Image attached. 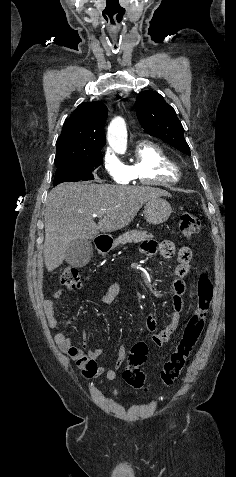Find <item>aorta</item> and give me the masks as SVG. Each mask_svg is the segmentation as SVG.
<instances>
[{"instance_id": "aorta-1", "label": "aorta", "mask_w": 236, "mask_h": 477, "mask_svg": "<svg viewBox=\"0 0 236 477\" xmlns=\"http://www.w3.org/2000/svg\"><path fill=\"white\" fill-rule=\"evenodd\" d=\"M107 140L117 152L124 153L127 149V130L121 117L114 118L108 126Z\"/></svg>"}]
</instances>
